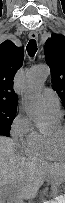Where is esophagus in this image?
I'll list each match as a JSON object with an SVG mask.
<instances>
[{"label":"esophagus","instance_id":"34e87169","mask_svg":"<svg viewBox=\"0 0 65 203\" xmlns=\"http://www.w3.org/2000/svg\"><path fill=\"white\" fill-rule=\"evenodd\" d=\"M29 38L30 39H34V40H37L38 39V33L36 31H31L29 33Z\"/></svg>","mask_w":65,"mask_h":203}]
</instances>
